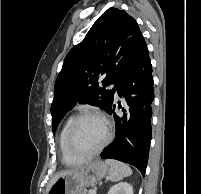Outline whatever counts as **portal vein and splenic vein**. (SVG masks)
Wrapping results in <instances>:
<instances>
[{"label":"portal vein and splenic vein","instance_id":"1","mask_svg":"<svg viewBox=\"0 0 201 194\" xmlns=\"http://www.w3.org/2000/svg\"><path fill=\"white\" fill-rule=\"evenodd\" d=\"M97 192H96V190L95 189H91V190H89V194H96Z\"/></svg>","mask_w":201,"mask_h":194}]
</instances>
